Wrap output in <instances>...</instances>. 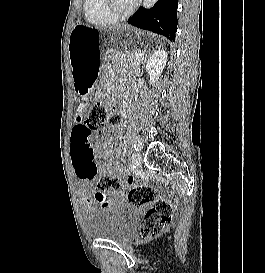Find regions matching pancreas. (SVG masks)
Here are the masks:
<instances>
[{
    "label": "pancreas",
    "instance_id": "pancreas-1",
    "mask_svg": "<svg viewBox=\"0 0 265 273\" xmlns=\"http://www.w3.org/2000/svg\"><path fill=\"white\" fill-rule=\"evenodd\" d=\"M119 59L127 61L131 67H136L139 64V60L135 58V54H126L124 58L114 56V62L118 61Z\"/></svg>",
    "mask_w": 265,
    "mask_h": 273
}]
</instances>
